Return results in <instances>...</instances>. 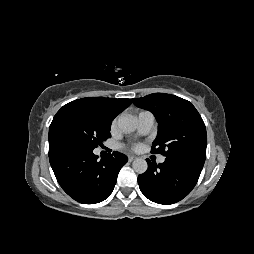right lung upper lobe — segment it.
I'll list each match as a JSON object with an SVG mask.
<instances>
[{
    "label": "right lung upper lobe",
    "instance_id": "cb5924a9",
    "mask_svg": "<svg viewBox=\"0 0 254 254\" xmlns=\"http://www.w3.org/2000/svg\"><path fill=\"white\" fill-rule=\"evenodd\" d=\"M90 104L98 107L108 118L113 120L120 112L125 110L130 104L131 100L127 98H104V97H87L72 101L70 104Z\"/></svg>",
    "mask_w": 254,
    "mask_h": 254
}]
</instances>
